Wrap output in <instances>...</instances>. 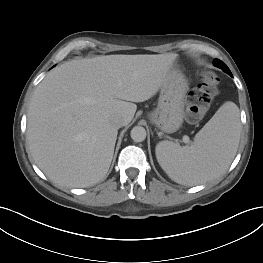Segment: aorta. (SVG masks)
Returning a JSON list of instances; mask_svg holds the SVG:
<instances>
[{"label": "aorta", "instance_id": "1", "mask_svg": "<svg viewBox=\"0 0 263 263\" xmlns=\"http://www.w3.org/2000/svg\"><path fill=\"white\" fill-rule=\"evenodd\" d=\"M130 135L134 142H142L146 138V130L142 126H135L131 130Z\"/></svg>", "mask_w": 263, "mask_h": 263}]
</instances>
